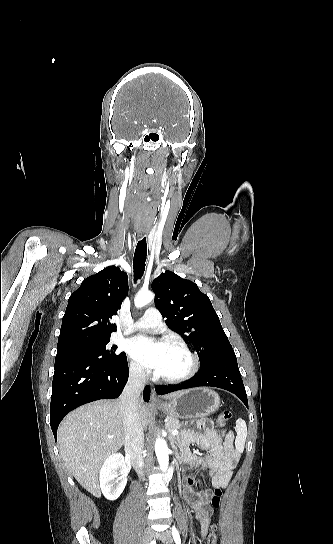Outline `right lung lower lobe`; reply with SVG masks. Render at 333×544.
Returning a JSON list of instances; mask_svg holds the SVG:
<instances>
[{
	"mask_svg": "<svg viewBox=\"0 0 333 544\" xmlns=\"http://www.w3.org/2000/svg\"><path fill=\"white\" fill-rule=\"evenodd\" d=\"M50 425L56 438L61 420L73 409L99 399L117 398L127 383V358L115 365L93 361L82 354L57 353L55 358ZM150 388H144V400Z\"/></svg>",
	"mask_w": 333,
	"mask_h": 544,
	"instance_id": "obj_1",
	"label": "right lung lower lobe"
}]
</instances>
